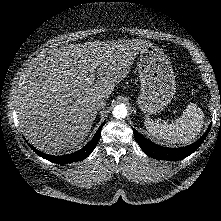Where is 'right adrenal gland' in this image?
Returning a JSON list of instances; mask_svg holds the SVG:
<instances>
[{
    "label": "right adrenal gland",
    "instance_id": "obj_1",
    "mask_svg": "<svg viewBox=\"0 0 221 221\" xmlns=\"http://www.w3.org/2000/svg\"><path fill=\"white\" fill-rule=\"evenodd\" d=\"M96 115H97V111H94V113H93V121L95 120Z\"/></svg>",
    "mask_w": 221,
    "mask_h": 221
}]
</instances>
